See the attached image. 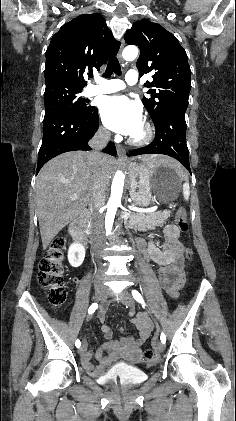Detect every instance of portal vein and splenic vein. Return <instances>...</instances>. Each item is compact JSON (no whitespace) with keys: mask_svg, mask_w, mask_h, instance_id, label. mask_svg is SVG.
Listing matches in <instances>:
<instances>
[{"mask_svg":"<svg viewBox=\"0 0 236 421\" xmlns=\"http://www.w3.org/2000/svg\"><path fill=\"white\" fill-rule=\"evenodd\" d=\"M70 198L76 200L77 194H73ZM125 208H128V205H125ZM129 208L131 211H140V213H154V211H157L158 206H151V208H135L133 204H130Z\"/></svg>","mask_w":236,"mask_h":421,"instance_id":"18ae733b","label":"portal vein and splenic vein"}]
</instances>
